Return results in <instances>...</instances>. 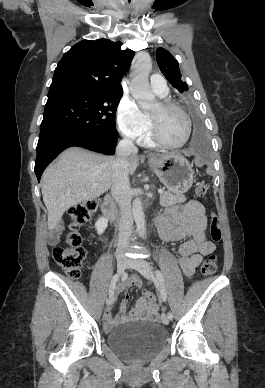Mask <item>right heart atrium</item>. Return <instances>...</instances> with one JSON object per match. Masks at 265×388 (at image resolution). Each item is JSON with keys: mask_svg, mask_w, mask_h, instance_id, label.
<instances>
[{"mask_svg": "<svg viewBox=\"0 0 265 388\" xmlns=\"http://www.w3.org/2000/svg\"><path fill=\"white\" fill-rule=\"evenodd\" d=\"M118 117L125 134L133 139H142L151 128V119L138 107L131 97H124L118 108Z\"/></svg>", "mask_w": 265, "mask_h": 388, "instance_id": "1", "label": "right heart atrium"}]
</instances>
